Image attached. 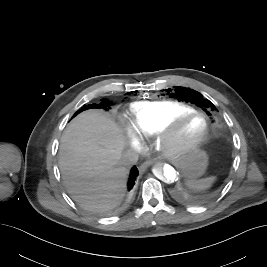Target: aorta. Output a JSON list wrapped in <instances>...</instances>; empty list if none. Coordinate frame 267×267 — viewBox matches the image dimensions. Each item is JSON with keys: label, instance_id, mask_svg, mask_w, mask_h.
<instances>
[{"label": "aorta", "instance_id": "762f6f07", "mask_svg": "<svg viewBox=\"0 0 267 267\" xmlns=\"http://www.w3.org/2000/svg\"><path fill=\"white\" fill-rule=\"evenodd\" d=\"M152 172L157 179L166 183L176 181L178 175L177 170L173 166L161 162H158L153 166Z\"/></svg>", "mask_w": 267, "mask_h": 267}]
</instances>
